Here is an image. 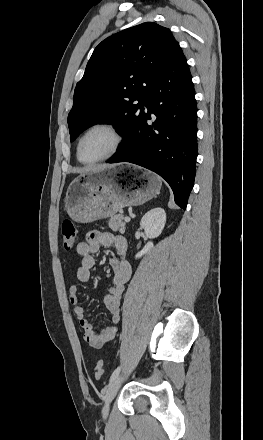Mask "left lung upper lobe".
<instances>
[{"label": "left lung upper lobe", "mask_w": 263, "mask_h": 440, "mask_svg": "<svg viewBox=\"0 0 263 440\" xmlns=\"http://www.w3.org/2000/svg\"><path fill=\"white\" fill-rule=\"evenodd\" d=\"M176 42L168 28L153 22L103 40L74 91L68 115L70 140L95 123L108 122L115 125L124 143L144 107L152 81Z\"/></svg>", "instance_id": "left-lung-upper-lobe-1"}]
</instances>
